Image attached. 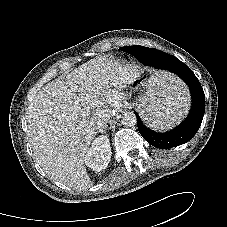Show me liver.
<instances>
[{"mask_svg":"<svg viewBox=\"0 0 227 227\" xmlns=\"http://www.w3.org/2000/svg\"><path fill=\"white\" fill-rule=\"evenodd\" d=\"M132 81L128 66L98 57L34 95L27 111V135L34 158L49 177L78 190L92 186L84 159L99 131L98 121L110 118L123 98L119 88ZM188 100L187 95L186 110Z\"/></svg>","mask_w":227,"mask_h":227,"instance_id":"6515ba94","label":"liver"}]
</instances>
